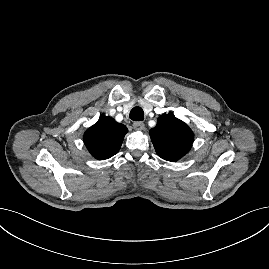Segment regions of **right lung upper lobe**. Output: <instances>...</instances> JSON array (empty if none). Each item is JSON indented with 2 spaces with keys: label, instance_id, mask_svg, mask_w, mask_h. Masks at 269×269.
<instances>
[{
  "label": "right lung upper lobe",
  "instance_id": "cb5924a9",
  "mask_svg": "<svg viewBox=\"0 0 269 269\" xmlns=\"http://www.w3.org/2000/svg\"><path fill=\"white\" fill-rule=\"evenodd\" d=\"M128 129L112 117L101 116L85 132L84 143L91 155L98 160H105L117 154Z\"/></svg>",
  "mask_w": 269,
  "mask_h": 269
}]
</instances>
